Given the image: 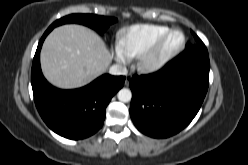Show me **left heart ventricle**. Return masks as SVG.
<instances>
[{
  "label": "left heart ventricle",
  "instance_id": "obj_1",
  "mask_svg": "<svg viewBox=\"0 0 248 165\" xmlns=\"http://www.w3.org/2000/svg\"><path fill=\"white\" fill-rule=\"evenodd\" d=\"M181 41V35L178 33H174L170 35L161 45L158 54H164L173 48H175L179 42Z\"/></svg>",
  "mask_w": 248,
  "mask_h": 165
}]
</instances>
